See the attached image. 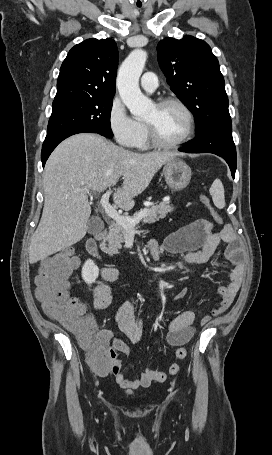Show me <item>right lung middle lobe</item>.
Instances as JSON below:
<instances>
[{
  "label": "right lung middle lobe",
  "instance_id": "right-lung-middle-lobe-1",
  "mask_svg": "<svg viewBox=\"0 0 272 455\" xmlns=\"http://www.w3.org/2000/svg\"><path fill=\"white\" fill-rule=\"evenodd\" d=\"M113 97L72 98L53 102L47 135L71 129H88L112 138L110 114Z\"/></svg>",
  "mask_w": 272,
  "mask_h": 455
}]
</instances>
